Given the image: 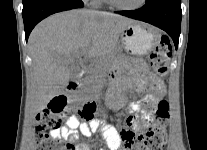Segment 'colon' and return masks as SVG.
Segmentation results:
<instances>
[{"instance_id": "colon-1", "label": "colon", "mask_w": 207, "mask_h": 150, "mask_svg": "<svg viewBox=\"0 0 207 150\" xmlns=\"http://www.w3.org/2000/svg\"><path fill=\"white\" fill-rule=\"evenodd\" d=\"M171 54V45L168 37L163 36L156 48L150 53V63L154 71L165 78L168 73V59ZM152 87H159V79H152ZM70 105V100L64 96L50 100L49 109L40 112L36 118L38 150H73L72 144L63 143L52 138L47 132L55 130L63 124L65 118L64 107ZM146 109L157 107L152 120V126L146 132L136 136L132 130H124L123 150H162L167 143V127L169 121V104L165 100L147 99ZM94 107H85L81 116L89 119L92 117Z\"/></svg>"}]
</instances>
